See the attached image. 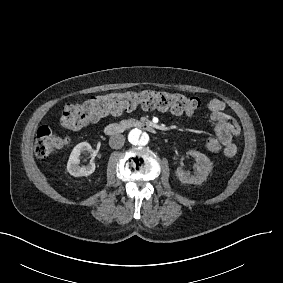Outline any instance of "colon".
Wrapping results in <instances>:
<instances>
[{
	"label": "colon",
	"instance_id": "obj_1",
	"mask_svg": "<svg viewBox=\"0 0 283 283\" xmlns=\"http://www.w3.org/2000/svg\"><path fill=\"white\" fill-rule=\"evenodd\" d=\"M137 106L145 109H170L179 113L192 114L200 106L198 97L178 92L142 90L112 92L91 97L82 103H68L61 109L60 125L67 129L77 130L106 115H120ZM69 139L54 133L48 127L37 131L34 142V153L44 158L67 148ZM221 143L216 138L205 140L204 149L210 153L221 150Z\"/></svg>",
	"mask_w": 283,
	"mask_h": 283
}]
</instances>
